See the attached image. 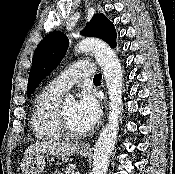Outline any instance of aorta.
Here are the masks:
<instances>
[{
	"label": "aorta",
	"instance_id": "obj_1",
	"mask_svg": "<svg viewBox=\"0 0 175 174\" xmlns=\"http://www.w3.org/2000/svg\"><path fill=\"white\" fill-rule=\"evenodd\" d=\"M75 50L77 52L91 51L105 77L110 99V111L108 123L100 133L95 145L91 174H106L109 160L116 144L118 125L123 107V75L121 64L115 52L105 42L97 38H84L77 44ZM65 100L71 101L74 98L69 95Z\"/></svg>",
	"mask_w": 175,
	"mask_h": 174
}]
</instances>
